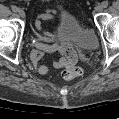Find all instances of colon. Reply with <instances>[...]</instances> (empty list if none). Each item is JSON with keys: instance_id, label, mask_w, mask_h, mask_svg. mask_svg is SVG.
Masks as SVG:
<instances>
[{"instance_id": "colon-1", "label": "colon", "mask_w": 119, "mask_h": 119, "mask_svg": "<svg viewBox=\"0 0 119 119\" xmlns=\"http://www.w3.org/2000/svg\"><path fill=\"white\" fill-rule=\"evenodd\" d=\"M83 74V70L78 66H69L66 67L61 75L65 80H73L80 77Z\"/></svg>"}]
</instances>
